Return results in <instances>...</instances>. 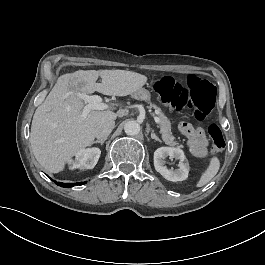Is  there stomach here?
Segmentation results:
<instances>
[{
  "label": "stomach",
  "instance_id": "stomach-1",
  "mask_svg": "<svg viewBox=\"0 0 265 265\" xmlns=\"http://www.w3.org/2000/svg\"><path fill=\"white\" fill-rule=\"evenodd\" d=\"M132 97L137 100L145 101V102H150L151 101V93L149 90L141 88L137 91H135L132 94Z\"/></svg>",
  "mask_w": 265,
  "mask_h": 265
}]
</instances>
